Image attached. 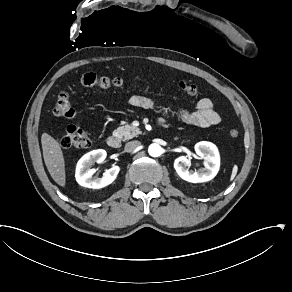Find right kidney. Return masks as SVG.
Here are the masks:
<instances>
[{
    "label": "right kidney",
    "mask_w": 292,
    "mask_h": 292,
    "mask_svg": "<svg viewBox=\"0 0 292 292\" xmlns=\"http://www.w3.org/2000/svg\"><path fill=\"white\" fill-rule=\"evenodd\" d=\"M107 156L103 149L93 150L78 161L76 166L75 178L79 185L87 188L100 189L111 184L117 177L120 168L114 166L103 173L101 178L93 177L95 169H90L95 162L102 163Z\"/></svg>",
    "instance_id": "1"
}]
</instances>
